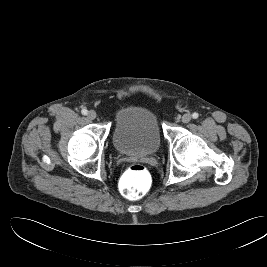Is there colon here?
<instances>
[{"mask_svg": "<svg viewBox=\"0 0 267 267\" xmlns=\"http://www.w3.org/2000/svg\"><path fill=\"white\" fill-rule=\"evenodd\" d=\"M151 186V175L147 168L139 163L131 165L120 179L119 188L127 199H138L144 196Z\"/></svg>", "mask_w": 267, "mask_h": 267, "instance_id": "obj_1", "label": "colon"}]
</instances>
